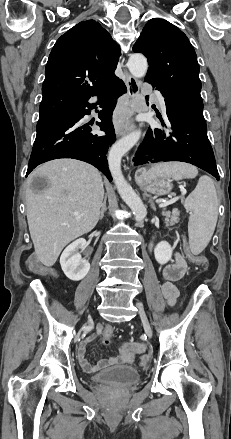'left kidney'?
<instances>
[{
  "instance_id": "1",
  "label": "left kidney",
  "mask_w": 231,
  "mask_h": 439,
  "mask_svg": "<svg viewBox=\"0 0 231 439\" xmlns=\"http://www.w3.org/2000/svg\"><path fill=\"white\" fill-rule=\"evenodd\" d=\"M172 252L173 249L170 244L166 241H161L154 249L155 259L159 264H166L171 260Z\"/></svg>"
}]
</instances>
